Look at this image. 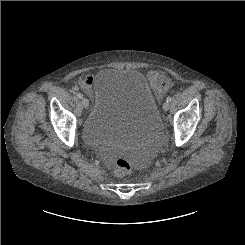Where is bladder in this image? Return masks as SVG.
Listing matches in <instances>:
<instances>
[{"mask_svg": "<svg viewBox=\"0 0 245 245\" xmlns=\"http://www.w3.org/2000/svg\"><path fill=\"white\" fill-rule=\"evenodd\" d=\"M161 127L158 103L138 70L108 67L99 72L92 109L81 127L84 144L132 146Z\"/></svg>", "mask_w": 245, "mask_h": 245, "instance_id": "bladder-1", "label": "bladder"}]
</instances>
